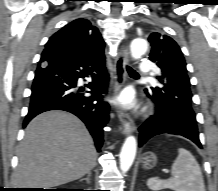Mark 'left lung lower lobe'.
I'll list each match as a JSON object with an SVG mask.
<instances>
[{
    "label": "left lung lower lobe",
    "mask_w": 218,
    "mask_h": 191,
    "mask_svg": "<svg viewBox=\"0 0 218 191\" xmlns=\"http://www.w3.org/2000/svg\"><path fill=\"white\" fill-rule=\"evenodd\" d=\"M145 92L155 102L157 112L139 128V146H142L154 135L169 133L182 135L202 148L197 128L191 127L192 119L195 117L192 107L182 103L169 106L158 97L153 96L151 92L149 94L147 89Z\"/></svg>",
    "instance_id": "left-lung-lower-lobe-1"
}]
</instances>
